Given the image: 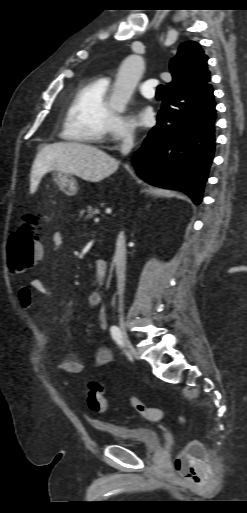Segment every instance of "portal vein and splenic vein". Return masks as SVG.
<instances>
[{
  "mask_svg": "<svg viewBox=\"0 0 247 513\" xmlns=\"http://www.w3.org/2000/svg\"><path fill=\"white\" fill-rule=\"evenodd\" d=\"M94 221H95V222H98V221H99V218H95V219H94Z\"/></svg>",
  "mask_w": 247,
  "mask_h": 513,
  "instance_id": "portal-vein-and-splenic-vein-1",
  "label": "portal vein and splenic vein"
}]
</instances>
